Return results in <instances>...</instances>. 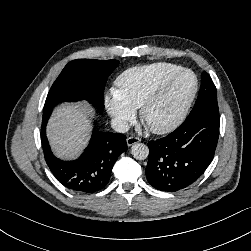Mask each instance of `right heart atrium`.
I'll return each instance as SVG.
<instances>
[{"label": "right heart atrium", "instance_id": "obj_1", "mask_svg": "<svg viewBox=\"0 0 251 251\" xmlns=\"http://www.w3.org/2000/svg\"><path fill=\"white\" fill-rule=\"evenodd\" d=\"M104 104L107 113L118 129H124L135 115V110L127 105L115 90L105 96Z\"/></svg>", "mask_w": 251, "mask_h": 251}]
</instances>
